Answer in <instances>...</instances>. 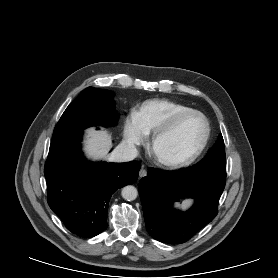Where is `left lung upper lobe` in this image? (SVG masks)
Here are the masks:
<instances>
[{"label":"left lung upper lobe","mask_w":278,"mask_h":278,"mask_svg":"<svg viewBox=\"0 0 278 278\" xmlns=\"http://www.w3.org/2000/svg\"><path fill=\"white\" fill-rule=\"evenodd\" d=\"M192 167L226 175L225 147L221 134L213 147L208 150L207 155Z\"/></svg>","instance_id":"left-lung-upper-lobe-1"}]
</instances>
